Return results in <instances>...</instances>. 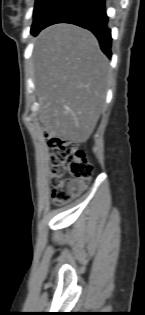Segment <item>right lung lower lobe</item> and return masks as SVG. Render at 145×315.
<instances>
[{
    "label": "right lung lower lobe",
    "instance_id": "1",
    "mask_svg": "<svg viewBox=\"0 0 145 315\" xmlns=\"http://www.w3.org/2000/svg\"><path fill=\"white\" fill-rule=\"evenodd\" d=\"M107 22L105 0H66L41 29L55 23H71L81 26L95 34L102 51L111 57L112 38Z\"/></svg>",
    "mask_w": 145,
    "mask_h": 315
}]
</instances>
